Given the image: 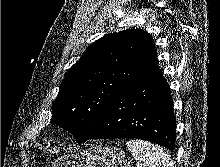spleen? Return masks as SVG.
Segmentation results:
<instances>
[{
	"instance_id": "3e777b00",
	"label": "spleen",
	"mask_w": 220,
	"mask_h": 167,
	"mask_svg": "<svg viewBox=\"0 0 220 167\" xmlns=\"http://www.w3.org/2000/svg\"><path fill=\"white\" fill-rule=\"evenodd\" d=\"M126 145L138 161L137 167H174L170 154L156 144L137 139Z\"/></svg>"
}]
</instances>
